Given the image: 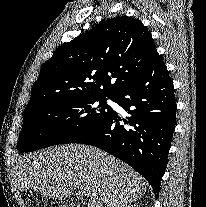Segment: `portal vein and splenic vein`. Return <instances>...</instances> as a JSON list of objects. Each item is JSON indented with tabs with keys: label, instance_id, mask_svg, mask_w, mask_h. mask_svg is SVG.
I'll return each instance as SVG.
<instances>
[{
	"label": "portal vein and splenic vein",
	"instance_id": "portal-vein-and-splenic-vein-1",
	"mask_svg": "<svg viewBox=\"0 0 206 207\" xmlns=\"http://www.w3.org/2000/svg\"><path fill=\"white\" fill-rule=\"evenodd\" d=\"M76 194L80 197L86 196V193L84 191H78Z\"/></svg>",
	"mask_w": 206,
	"mask_h": 207
}]
</instances>
